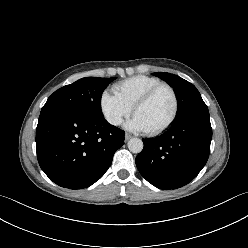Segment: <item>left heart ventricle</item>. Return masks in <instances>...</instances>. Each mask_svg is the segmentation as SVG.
Instances as JSON below:
<instances>
[{
	"label": "left heart ventricle",
	"mask_w": 248,
	"mask_h": 248,
	"mask_svg": "<svg viewBox=\"0 0 248 248\" xmlns=\"http://www.w3.org/2000/svg\"><path fill=\"white\" fill-rule=\"evenodd\" d=\"M173 111V98L168 89H161L135 113L147 131L164 124Z\"/></svg>",
	"instance_id": "1"
}]
</instances>
